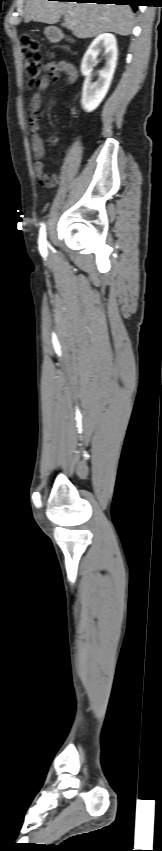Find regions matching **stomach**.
<instances>
[{
    "mask_svg": "<svg viewBox=\"0 0 162 851\" xmlns=\"http://www.w3.org/2000/svg\"><path fill=\"white\" fill-rule=\"evenodd\" d=\"M53 32H54V29L51 28V27H48V28L45 29V34L50 39L53 38Z\"/></svg>",
    "mask_w": 162,
    "mask_h": 851,
    "instance_id": "obj_1",
    "label": "stomach"
}]
</instances>
